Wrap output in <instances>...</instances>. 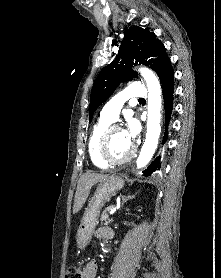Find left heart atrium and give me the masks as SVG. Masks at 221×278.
Wrapping results in <instances>:
<instances>
[{"mask_svg": "<svg viewBox=\"0 0 221 278\" xmlns=\"http://www.w3.org/2000/svg\"><path fill=\"white\" fill-rule=\"evenodd\" d=\"M138 126L134 121L129 122L128 128L124 131L126 140L131 145L133 144L137 134H138Z\"/></svg>", "mask_w": 221, "mask_h": 278, "instance_id": "left-heart-atrium-1", "label": "left heart atrium"}]
</instances>
